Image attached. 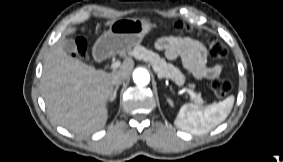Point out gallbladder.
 Returning <instances> with one entry per match:
<instances>
[{
    "instance_id": "gallbladder-1",
    "label": "gallbladder",
    "mask_w": 283,
    "mask_h": 162,
    "mask_svg": "<svg viewBox=\"0 0 283 162\" xmlns=\"http://www.w3.org/2000/svg\"><path fill=\"white\" fill-rule=\"evenodd\" d=\"M64 49L69 53H76V43L73 39H66L64 41Z\"/></svg>"
}]
</instances>
